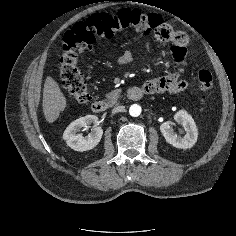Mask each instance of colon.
Listing matches in <instances>:
<instances>
[{
    "label": "colon",
    "mask_w": 236,
    "mask_h": 236,
    "mask_svg": "<svg viewBox=\"0 0 236 236\" xmlns=\"http://www.w3.org/2000/svg\"><path fill=\"white\" fill-rule=\"evenodd\" d=\"M128 28L133 29L139 37L153 33L164 42L173 43L181 39L180 33L174 31L160 16L131 9H123L115 14H95L76 23L64 37L60 74L64 87L77 103H87L91 98L88 83L79 67L81 55L98 39L111 38ZM198 82L202 92L211 90L212 73L208 69L199 70Z\"/></svg>",
    "instance_id": "obj_1"
}]
</instances>
